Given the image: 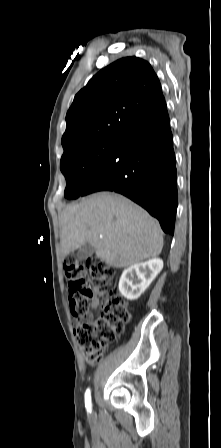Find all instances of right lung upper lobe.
<instances>
[{
    "label": "right lung upper lobe",
    "mask_w": 221,
    "mask_h": 448,
    "mask_svg": "<svg viewBox=\"0 0 221 448\" xmlns=\"http://www.w3.org/2000/svg\"><path fill=\"white\" fill-rule=\"evenodd\" d=\"M164 103L160 81L147 61L137 57L115 61L75 96L61 141L64 154L87 142L119 137Z\"/></svg>",
    "instance_id": "obj_1"
}]
</instances>
